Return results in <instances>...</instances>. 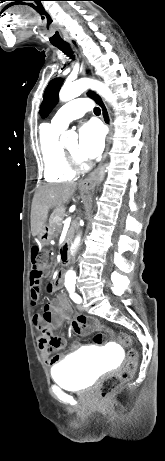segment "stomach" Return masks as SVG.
Masks as SVG:
<instances>
[{"mask_svg": "<svg viewBox=\"0 0 165 461\" xmlns=\"http://www.w3.org/2000/svg\"><path fill=\"white\" fill-rule=\"evenodd\" d=\"M54 236V231L49 224H44L42 231L38 234V239L41 245H48Z\"/></svg>", "mask_w": 165, "mask_h": 461, "instance_id": "stomach-1", "label": "stomach"}]
</instances>
